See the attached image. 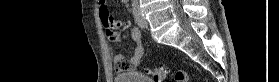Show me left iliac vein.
Returning <instances> with one entry per match:
<instances>
[{
    "label": "left iliac vein",
    "mask_w": 279,
    "mask_h": 82,
    "mask_svg": "<svg viewBox=\"0 0 279 82\" xmlns=\"http://www.w3.org/2000/svg\"><path fill=\"white\" fill-rule=\"evenodd\" d=\"M134 18L136 24L141 28H146L148 26L147 20L142 16L139 8H134Z\"/></svg>",
    "instance_id": "left-iliac-vein-1"
}]
</instances>
